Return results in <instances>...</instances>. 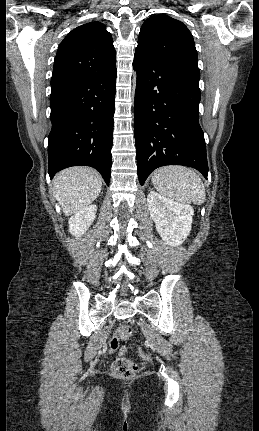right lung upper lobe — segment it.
Returning <instances> with one entry per match:
<instances>
[{
  "label": "right lung upper lobe",
  "mask_w": 259,
  "mask_h": 431,
  "mask_svg": "<svg viewBox=\"0 0 259 431\" xmlns=\"http://www.w3.org/2000/svg\"><path fill=\"white\" fill-rule=\"evenodd\" d=\"M114 69L116 53L111 34L100 22L86 23L73 29L60 43L51 85Z\"/></svg>",
  "instance_id": "cb5924a9"
}]
</instances>
